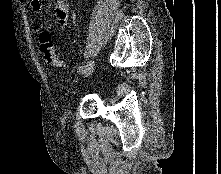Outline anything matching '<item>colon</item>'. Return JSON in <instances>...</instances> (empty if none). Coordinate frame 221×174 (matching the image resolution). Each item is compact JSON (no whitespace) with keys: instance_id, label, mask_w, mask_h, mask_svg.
<instances>
[{"instance_id":"obj_1","label":"colon","mask_w":221,"mask_h":174,"mask_svg":"<svg viewBox=\"0 0 221 174\" xmlns=\"http://www.w3.org/2000/svg\"><path fill=\"white\" fill-rule=\"evenodd\" d=\"M52 32L46 26H43L39 33L40 50L46 62L56 68H63L65 62L59 57L52 41Z\"/></svg>"}]
</instances>
